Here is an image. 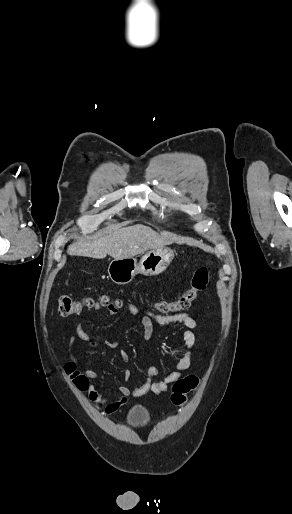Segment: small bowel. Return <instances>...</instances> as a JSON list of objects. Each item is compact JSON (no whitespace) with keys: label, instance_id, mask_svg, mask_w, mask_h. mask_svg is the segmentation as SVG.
<instances>
[{"label":"small bowel","instance_id":"c3829d8e","mask_svg":"<svg viewBox=\"0 0 292 514\" xmlns=\"http://www.w3.org/2000/svg\"><path fill=\"white\" fill-rule=\"evenodd\" d=\"M103 307V303L99 300H96L92 304V308L99 312ZM109 313L113 315L117 311V307L114 303L109 304ZM130 314L135 316L139 313V308L135 304L129 305ZM141 325L144 330V338L149 340L153 337L155 326L159 327H171V326H184L186 329L182 332V339L186 346V352L183 357L178 360L175 366V370L167 374L160 381H153L155 377L158 375V370L155 367H150L146 371V379L141 387L132 391L125 385H121L118 388L120 393V399L105 404V411L108 416L112 415V412H119L122 409V405L126 402L129 397H138L141 396L148 391H151L155 394H161L167 391L169 385L174 384L177 380L181 379L183 376V372L190 368L192 362L193 348L196 344V336L193 333V329L197 326V321L195 316L192 313H175V314H155L151 311H145L141 317ZM76 336L82 341L88 342L91 346H96L97 342L92 341V335L85 331L80 324L76 326ZM95 339L98 338V335L95 334ZM75 342V336H70L68 344H67V352L72 360H75L76 357L73 353V345ZM106 346L109 349H116L119 346L118 339H111L105 342ZM120 359L123 362H128L130 359V355L127 351L121 350L119 353ZM74 365H77V362H74ZM81 373L86 376L88 379L95 380L99 377L98 372L92 369L83 368ZM130 372L129 370L123 371V378L125 380L129 379ZM90 396L94 399H101L100 393L95 389L94 385L89 386Z\"/></svg>","mask_w":292,"mask_h":514}]
</instances>
